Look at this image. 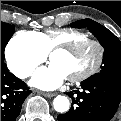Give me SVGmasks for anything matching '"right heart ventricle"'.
I'll use <instances>...</instances> for the list:
<instances>
[{
  "label": "right heart ventricle",
  "instance_id": "obj_1",
  "mask_svg": "<svg viewBox=\"0 0 121 121\" xmlns=\"http://www.w3.org/2000/svg\"><path fill=\"white\" fill-rule=\"evenodd\" d=\"M33 37L39 44L41 50L47 53L52 48L58 45H70L77 41L84 40L87 36L81 32L70 30H43V31H29L22 32Z\"/></svg>",
  "mask_w": 121,
  "mask_h": 121
}]
</instances>
